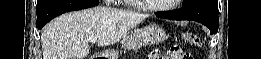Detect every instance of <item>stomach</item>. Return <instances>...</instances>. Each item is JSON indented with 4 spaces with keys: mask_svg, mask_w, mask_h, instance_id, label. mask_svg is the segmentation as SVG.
Returning <instances> with one entry per match:
<instances>
[{
    "mask_svg": "<svg viewBox=\"0 0 261 59\" xmlns=\"http://www.w3.org/2000/svg\"><path fill=\"white\" fill-rule=\"evenodd\" d=\"M167 39L165 30L157 24H150L134 31L123 38L122 42L128 51H137L142 47L159 44ZM110 59H117L112 57Z\"/></svg>",
    "mask_w": 261,
    "mask_h": 59,
    "instance_id": "stomach-1",
    "label": "stomach"
}]
</instances>
